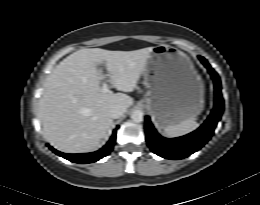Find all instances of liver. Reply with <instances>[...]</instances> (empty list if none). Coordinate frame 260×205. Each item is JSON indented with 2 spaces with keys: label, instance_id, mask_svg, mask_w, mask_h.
Here are the masks:
<instances>
[{
  "label": "liver",
  "instance_id": "obj_1",
  "mask_svg": "<svg viewBox=\"0 0 260 205\" xmlns=\"http://www.w3.org/2000/svg\"><path fill=\"white\" fill-rule=\"evenodd\" d=\"M152 50L80 49L62 60L46 78L39 100L38 116L45 139L66 153L97 150L111 132L109 109L115 105L127 109L134 102L124 93L102 92L99 66L105 65L114 88L132 92Z\"/></svg>",
  "mask_w": 260,
  "mask_h": 205
}]
</instances>
